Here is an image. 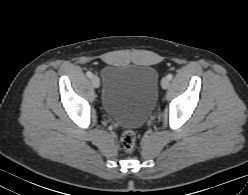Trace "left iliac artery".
Listing matches in <instances>:
<instances>
[{
	"mask_svg": "<svg viewBox=\"0 0 248 195\" xmlns=\"http://www.w3.org/2000/svg\"><path fill=\"white\" fill-rule=\"evenodd\" d=\"M167 78H168L169 80H172L173 75H172V74H168V75H167Z\"/></svg>",
	"mask_w": 248,
	"mask_h": 195,
	"instance_id": "44dca946",
	"label": "left iliac artery"
}]
</instances>
